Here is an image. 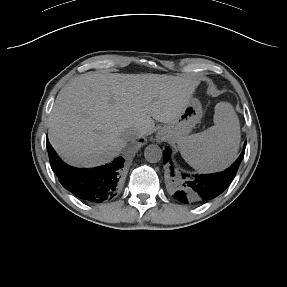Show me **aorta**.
<instances>
[{
  "label": "aorta",
  "mask_w": 287,
  "mask_h": 287,
  "mask_svg": "<svg viewBox=\"0 0 287 287\" xmlns=\"http://www.w3.org/2000/svg\"><path fill=\"white\" fill-rule=\"evenodd\" d=\"M163 152L156 144L148 145L144 150V157L150 163H157L161 160Z\"/></svg>",
  "instance_id": "obj_1"
}]
</instances>
